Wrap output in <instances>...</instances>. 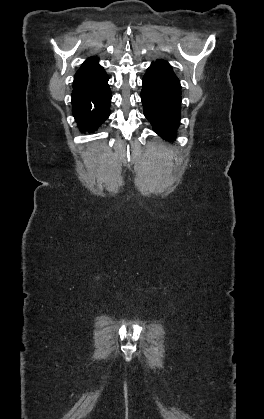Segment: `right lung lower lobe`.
Segmentation results:
<instances>
[{
  "label": "right lung lower lobe",
  "instance_id": "obj_1",
  "mask_svg": "<svg viewBox=\"0 0 264 419\" xmlns=\"http://www.w3.org/2000/svg\"><path fill=\"white\" fill-rule=\"evenodd\" d=\"M104 73L89 83H74L72 111L81 131L94 132L110 115L111 91Z\"/></svg>",
  "mask_w": 264,
  "mask_h": 419
}]
</instances>
